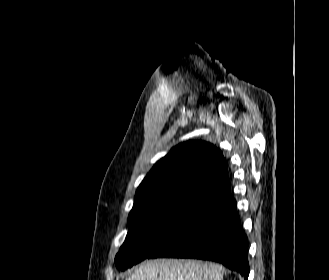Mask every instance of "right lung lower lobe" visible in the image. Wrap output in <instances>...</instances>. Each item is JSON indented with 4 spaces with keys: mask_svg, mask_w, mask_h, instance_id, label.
Returning a JSON list of instances; mask_svg holds the SVG:
<instances>
[{
    "mask_svg": "<svg viewBox=\"0 0 329 280\" xmlns=\"http://www.w3.org/2000/svg\"><path fill=\"white\" fill-rule=\"evenodd\" d=\"M248 239L240 225L230 186L223 185L204 206L149 258L176 257L222 263L248 279Z\"/></svg>",
    "mask_w": 329,
    "mask_h": 280,
    "instance_id": "98d812e1",
    "label": "right lung lower lobe"
}]
</instances>
